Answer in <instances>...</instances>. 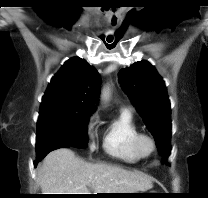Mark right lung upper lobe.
Returning a JSON list of instances; mask_svg holds the SVG:
<instances>
[{"label": "right lung upper lobe", "instance_id": "cb5924a9", "mask_svg": "<svg viewBox=\"0 0 208 198\" xmlns=\"http://www.w3.org/2000/svg\"><path fill=\"white\" fill-rule=\"evenodd\" d=\"M100 92L97 70L79 57L67 60L52 77L42 98L40 111L72 109L93 113Z\"/></svg>", "mask_w": 208, "mask_h": 198}]
</instances>
